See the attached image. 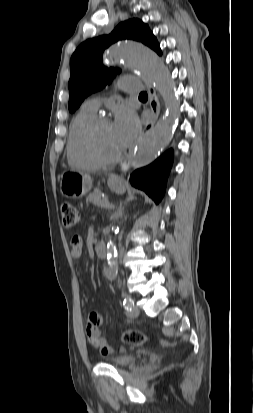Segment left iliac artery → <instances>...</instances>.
<instances>
[{
	"label": "left iliac artery",
	"instance_id": "left-iliac-artery-1",
	"mask_svg": "<svg viewBox=\"0 0 253 413\" xmlns=\"http://www.w3.org/2000/svg\"><path fill=\"white\" fill-rule=\"evenodd\" d=\"M133 303L134 302L130 296L128 295L124 296L123 305L125 306V308L128 309Z\"/></svg>",
	"mask_w": 253,
	"mask_h": 413
}]
</instances>
